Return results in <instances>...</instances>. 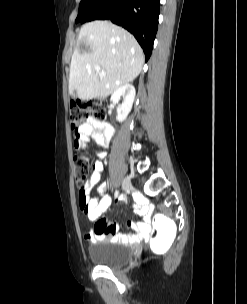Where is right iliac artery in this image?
Here are the masks:
<instances>
[{
  "label": "right iliac artery",
  "mask_w": 247,
  "mask_h": 304,
  "mask_svg": "<svg viewBox=\"0 0 247 304\" xmlns=\"http://www.w3.org/2000/svg\"><path fill=\"white\" fill-rule=\"evenodd\" d=\"M118 194H119V192H118V191H116V192H115V197H117V196H118Z\"/></svg>",
  "instance_id": "right-iliac-artery-1"
}]
</instances>
